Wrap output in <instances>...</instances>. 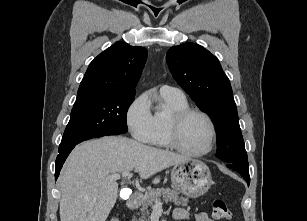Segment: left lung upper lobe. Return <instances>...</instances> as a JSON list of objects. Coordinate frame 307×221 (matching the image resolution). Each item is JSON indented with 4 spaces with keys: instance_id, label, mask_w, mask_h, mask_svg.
Returning a JSON list of instances; mask_svg holds the SVG:
<instances>
[{
    "instance_id": "1",
    "label": "left lung upper lobe",
    "mask_w": 307,
    "mask_h": 221,
    "mask_svg": "<svg viewBox=\"0 0 307 221\" xmlns=\"http://www.w3.org/2000/svg\"><path fill=\"white\" fill-rule=\"evenodd\" d=\"M166 60L177 83L213 120L216 156L249 169L232 88L218 59L196 43H184L171 47Z\"/></svg>"
}]
</instances>
